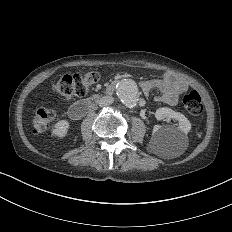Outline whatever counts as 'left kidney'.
I'll list each match as a JSON object with an SVG mask.
<instances>
[{"label": "left kidney", "mask_w": 232, "mask_h": 232, "mask_svg": "<svg viewBox=\"0 0 232 232\" xmlns=\"http://www.w3.org/2000/svg\"><path fill=\"white\" fill-rule=\"evenodd\" d=\"M155 118L158 121L164 118H172L177 120L178 125L161 126L159 124H155L153 127V134L149 142V145L152 148L174 151L185 149L187 147V133L191 129V124L183 114L168 107H161L156 110Z\"/></svg>", "instance_id": "5707ae66"}]
</instances>
